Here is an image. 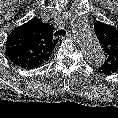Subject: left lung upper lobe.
Masks as SVG:
<instances>
[{
    "label": "left lung upper lobe",
    "instance_id": "left-lung-upper-lobe-1",
    "mask_svg": "<svg viewBox=\"0 0 118 118\" xmlns=\"http://www.w3.org/2000/svg\"><path fill=\"white\" fill-rule=\"evenodd\" d=\"M95 34L104 49L105 61L99 67L104 74H112L118 71V30L114 27L96 21L94 23Z\"/></svg>",
    "mask_w": 118,
    "mask_h": 118
}]
</instances>
